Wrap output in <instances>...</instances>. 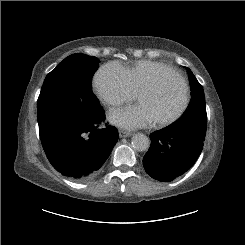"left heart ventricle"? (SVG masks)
Returning a JSON list of instances; mask_svg holds the SVG:
<instances>
[{
	"instance_id": "b2bd125f",
	"label": "left heart ventricle",
	"mask_w": 245,
	"mask_h": 245,
	"mask_svg": "<svg viewBox=\"0 0 245 245\" xmlns=\"http://www.w3.org/2000/svg\"><path fill=\"white\" fill-rule=\"evenodd\" d=\"M156 82L161 90L157 93H145L137 97L153 117L154 122L174 115L183 105L184 93L181 83L174 75H165Z\"/></svg>"
}]
</instances>
